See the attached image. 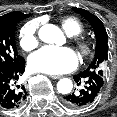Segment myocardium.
Instances as JSON below:
<instances>
[{"label":"myocardium","mask_w":117,"mask_h":117,"mask_svg":"<svg viewBox=\"0 0 117 117\" xmlns=\"http://www.w3.org/2000/svg\"><path fill=\"white\" fill-rule=\"evenodd\" d=\"M73 41L77 50L82 56L86 57L91 54L92 43L88 39L82 37H74Z\"/></svg>","instance_id":"obj_1"}]
</instances>
